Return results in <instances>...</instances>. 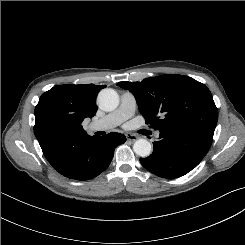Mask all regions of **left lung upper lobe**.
<instances>
[{"mask_svg": "<svg viewBox=\"0 0 245 245\" xmlns=\"http://www.w3.org/2000/svg\"><path fill=\"white\" fill-rule=\"evenodd\" d=\"M118 86L136 98L147 124L156 130L190 127L214 134L218 110L209 89L184 75H163Z\"/></svg>", "mask_w": 245, "mask_h": 245, "instance_id": "left-lung-upper-lobe-1", "label": "left lung upper lobe"}]
</instances>
